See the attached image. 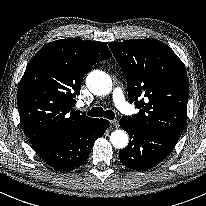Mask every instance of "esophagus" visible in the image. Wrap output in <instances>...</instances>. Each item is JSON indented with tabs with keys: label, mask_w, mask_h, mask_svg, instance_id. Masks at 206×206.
<instances>
[{
	"label": "esophagus",
	"mask_w": 206,
	"mask_h": 206,
	"mask_svg": "<svg viewBox=\"0 0 206 206\" xmlns=\"http://www.w3.org/2000/svg\"><path fill=\"white\" fill-rule=\"evenodd\" d=\"M110 123L114 126V127H118L119 126V122L118 120H111Z\"/></svg>",
	"instance_id": "obj_1"
}]
</instances>
